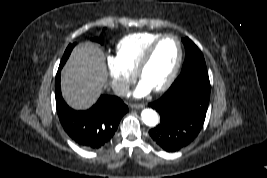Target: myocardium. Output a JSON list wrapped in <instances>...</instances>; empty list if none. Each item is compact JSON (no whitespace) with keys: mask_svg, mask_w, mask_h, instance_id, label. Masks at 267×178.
<instances>
[{"mask_svg":"<svg viewBox=\"0 0 267 178\" xmlns=\"http://www.w3.org/2000/svg\"><path fill=\"white\" fill-rule=\"evenodd\" d=\"M174 38L177 42L178 45V57L176 60V63L171 71V73L169 74L168 78L165 80V82L163 84H161L160 86L156 87L153 89L154 92H163L165 90H167L175 81L177 74L179 72V69L181 67L182 61H183V55H184V51H183V45L182 42L180 40V38L172 33H167V34H163L161 35L159 38H157L156 40H154L145 50V52L143 53L142 57L139 60L137 69H136V75L139 79H141L142 77V73L145 69V67L147 66V64L149 63L156 47L165 39V38Z\"/></svg>","mask_w":267,"mask_h":178,"instance_id":"1","label":"myocardium"}]
</instances>
